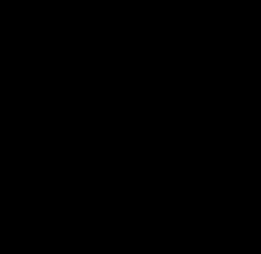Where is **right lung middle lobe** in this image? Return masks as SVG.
Wrapping results in <instances>:
<instances>
[{"instance_id": "1", "label": "right lung middle lobe", "mask_w": 261, "mask_h": 254, "mask_svg": "<svg viewBox=\"0 0 261 254\" xmlns=\"http://www.w3.org/2000/svg\"><path fill=\"white\" fill-rule=\"evenodd\" d=\"M85 89L69 93L62 105L60 112L63 116L74 118L81 124V132L91 145H94L100 137V127L90 117L92 103Z\"/></svg>"}]
</instances>
